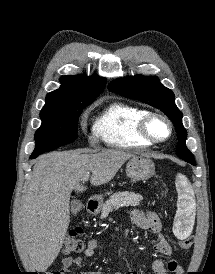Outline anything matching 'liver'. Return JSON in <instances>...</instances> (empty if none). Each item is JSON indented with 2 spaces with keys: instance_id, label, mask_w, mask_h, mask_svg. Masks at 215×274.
Masks as SVG:
<instances>
[{
  "instance_id": "liver-1",
  "label": "liver",
  "mask_w": 215,
  "mask_h": 274,
  "mask_svg": "<svg viewBox=\"0 0 215 274\" xmlns=\"http://www.w3.org/2000/svg\"><path fill=\"white\" fill-rule=\"evenodd\" d=\"M132 154L113 149L87 154L82 150L51 152L39 157L21 199L19 244L38 272H45L59 254L70 223L72 190L91 173L94 186L108 183Z\"/></svg>"
}]
</instances>
